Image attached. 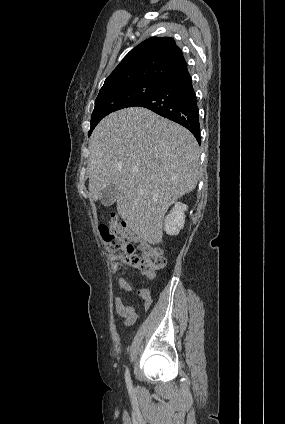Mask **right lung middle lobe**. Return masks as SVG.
Masks as SVG:
<instances>
[{"label":"right lung middle lobe","instance_id":"obj_1","mask_svg":"<svg viewBox=\"0 0 285 424\" xmlns=\"http://www.w3.org/2000/svg\"><path fill=\"white\" fill-rule=\"evenodd\" d=\"M163 85L158 81H140L108 88L99 92L91 117L89 136L95 126L106 115L130 107L135 101L142 99Z\"/></svg>","mask_w":285,"mask_h":424}]
</instances>
